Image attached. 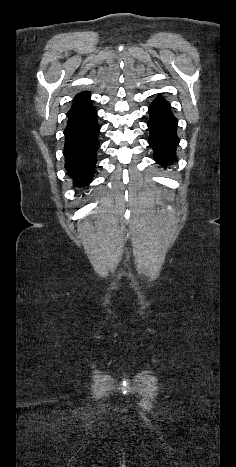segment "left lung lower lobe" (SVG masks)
Instances as JSON below:
<instances>
[{
    "label": "left lung lower lobe",
    "instance_id": "left-lung-lower-lobe-1",
    "mask_svg": "<svg viewBox=\"0 0 236 467\" xmlns=\"http://www.w3.org/2000/svg\"><path fill=\"white\" fill-rule=\"evenodd\" d=\"M149 144L154 150L155 160L162 166L170 165L176 159L178 121L170 110V104L157 97L149 107Z\"/></svg>",
    "mask_w": 236,
    "mask_h": 467
}]
</instances>
